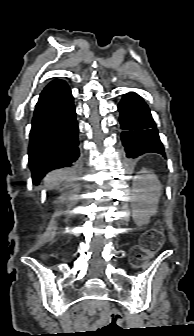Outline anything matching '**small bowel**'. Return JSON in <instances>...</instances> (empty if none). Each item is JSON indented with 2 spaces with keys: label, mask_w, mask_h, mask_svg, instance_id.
Segmentation results:
<instances>
[{
  "label": "small bowel",
  "mask_w": 194,
  "mask_h": 336,
  "mask_svg": "<svg viewBox=\"0 0 194 336\" xmlns=\"http://www.w3.org/2000/svg\"><path fill=\"white\" fill-rule=\"evenodd\" d=\"M107 306L106 304L102 306V309H105ZM80 322H84V320H80Z\"/></svg>",
  "instance_id": "small-bowel-1"
}]
</instances>
